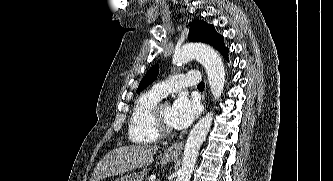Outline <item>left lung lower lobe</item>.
Segmentation results:
<instances>
[{
  "label": "left lung lower lobe",
  "mask_w": 333,
  "mask_h": 181,
  "mask_svg": "<svg viewBox=\"0 0 333 181\" xmlns=\"http://www.w3.org/2000/svg\"><path fill=\"white\" fill-rule=\"evenodd\" d=\"M223 56L227 59V56H228V50L223 54Z\"/></svg>",
  "instance_id": "0a47b994"
}]
</instances>
